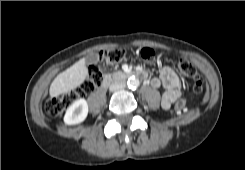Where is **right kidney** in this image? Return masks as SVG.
Segmentation results:
<instances>
[{
    "mask_svg": "<svg viewBox=\"0 0 245 170\" xmlns=\"http://www.w3.org/2000/svg\"><path fill=\"white\" fill-rule=\"evenodd\" d=\"M88 115V104L85 99H79L71 104L64 116V122L68 125L83 122Z\"/></svg>",
    "mask_w": 245,
    "mask_h": 170,
    "instance_id": "1",
    "label": "right kidney"
}]
</instances>
